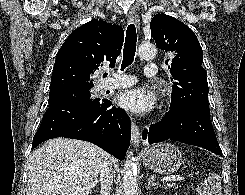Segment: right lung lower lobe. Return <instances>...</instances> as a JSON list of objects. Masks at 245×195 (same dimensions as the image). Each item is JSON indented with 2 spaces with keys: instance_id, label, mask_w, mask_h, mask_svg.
Returning <instances> with one entry per match:
<instances>
[{
  "instance_id": "98d812e1",
  "label": "right lung lower lobe",
  "mask_w": 245,
  "mask_h": 195,
  "mask_svg": "<svg viewBox=\"0 0 245 195\" xmlns=\"http://www.w3.org/2000/svg\"><path fill=\"white\" fill-rule=\"evenodd\" d=\"M66 137L89 141L123 160L131 139L126 112L107 99H84L49 106L32 148L43 141Z\"/></svg>"
}]
</instances>
